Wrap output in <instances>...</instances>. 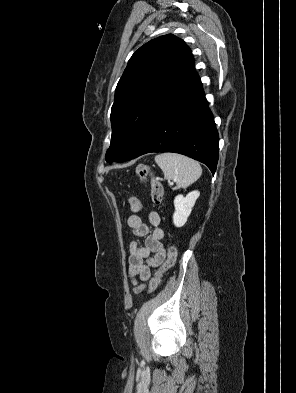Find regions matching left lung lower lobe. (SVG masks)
<instances>
[{
    "mask_svg": "<svg viewBox=\"0 0 296 393\" xmlns=\"http://www.w3.org/2000/svg\"><path fill=\"white\" fill-rule=\"evenodd\" d=\"M219 137L197 75L161 112L128 160L151 152H174L206 164L212 174Z\"/></svg>",
    "mask_w": 296,
    "mask_h": 393,
    "instance_id": "1",
    "label": "left lung lower lobe"
}]
</instances>
